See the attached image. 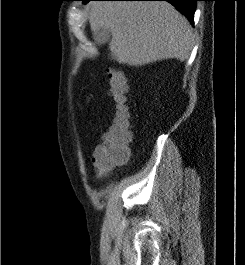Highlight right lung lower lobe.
Returning a JSON list of instances; mask_svg holds the SVG:
<instances>
[{"instance_id":"right-lung-lower-lobe-1","label":"right lung lower lobe","mask_w":245,"mask_h":265,"mask_svg":"<svg viewBox=\"0 0 245 265\" xmlns=\"http://www.w3.org/2000/svg\"><path fill=\"white\" fill-rule=\"evenodd\" d=\"M88 1H91V0H88ZM125 1H167L171 3L173 6H175L177 10L182 12L193 24L196 1L198 0H125Z\"/></svg>"}]
</instances>
